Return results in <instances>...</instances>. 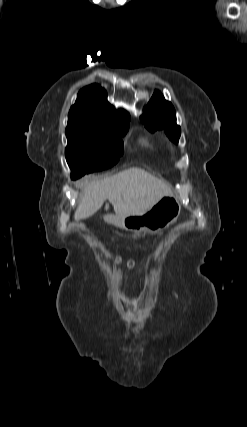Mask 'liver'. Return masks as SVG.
Segmentation results:
<instances>
[{"label":"liver","mask_w":247,"mask_h":427,"mask_svg":"<svg viewBox=\"0 0 247 427\" xmlns=\"http://www.w3.org/2000/svg\"><path fill=\"white\" fill-rule=\"evenodd\" d=\"M77 186L83 193L74 215L76 221L95 214L106 200L113 205L117 217H124L142 214L172 194L168 184L137 167L103 179L87 176Z\"/></svg>","instance_id":"liver-1"}]
</instances>
